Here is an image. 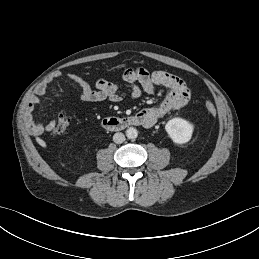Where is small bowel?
I'll use <instances>...</instances> for the list:
<instances>
[{
	"label": "small bowel",
	"instance_id": "1",
	"mask_svg": "<svg viewBox=\"0 0 259 259\" xmlns=\"http://www.w3.org/2000/svg\"><path fill=\"white\" fill-rule=\"evenodd\" d=\"M65 77L75 82L81 88V99L86 102H119L121 95L120 86L106 79H99L94 86L84 80L77 74L56 73L54 78ZM122 80L131 86V95L138 98L142 92L153 93L156 87H166L169 91L163 100L152 108L141 110L138 115L145 121V127H150L159 119L172 111L184 107L191 98V90L184 80L180 77L162 70L148 71L145 68H126L122 73ZM46 93V85L39 86L35 94L29 99L26 112L25 122L33 135H41L45 132L53 131L56 122L49 120L47 123L36 121L33 116L35 107L40 102V97Z\"/></svg>",
	"mask_w": 259,
	"mask_h": 259
}]
</instances>
